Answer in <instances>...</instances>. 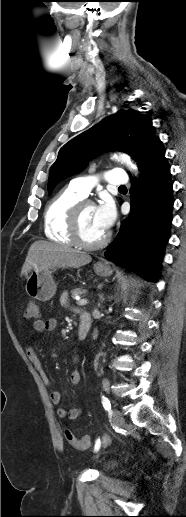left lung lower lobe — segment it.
<instances>
[{
    "label": "left lung lower lobe",
    "mask_w": 186,
    "mask_h": 517,
    "mask_svg": "<svg viewBox=\"0 0 186 517\" xmlns=\"http://www.w3.org/2000/svg\"><path fill=\"white\" fill-rule=\"evenodd\" d=\"M138 166L139 192L136 194L137 184L130 189L131 194L139 196V200L131 197V213L135 218L123 222L105 257L150 281H157L174 203L170 166L160 140L140 159Z\"/></svg>",
    "instance_id": "left-lung-lower-lobe-1"
}]
</instances>
